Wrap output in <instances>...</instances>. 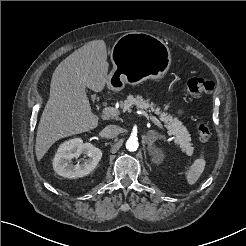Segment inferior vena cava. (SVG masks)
<instances>
[{"mask_svg": "<svg viewBox=\"0 0 246 246\" xmlns=\"http://www.w3.org/2000/svg\"><path fill=\"white\" fill-rule=\"evenodd\" d=\"M121 132V128L117 125H108L102 131L101 135L105 138H114Z\"/></svg>", "mask_w": 246, "mask_h": 246, "instance_id": "602c4592", "label": "inferior vena cava"}]
</instances>
